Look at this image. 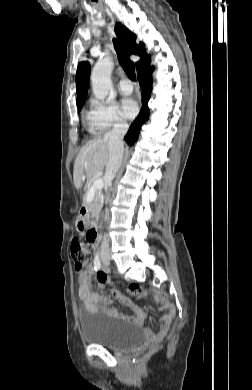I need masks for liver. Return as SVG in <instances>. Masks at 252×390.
Wrapping results in <instances>:
<instances>
[{
  "instance_id": "liver-1",
  "label": "liver",
  "mask_w": 252,
  "mask_h": 390,
  "mask_svg": "<svg viewBox=\"0 0 252 390\" xmlns=\"http://www.w3.org/2000/svg\"><path fill=\"white\" fill-rule=\"evenodd\" d=\"M109 160V147L106 137H97L87 142L78 153L73 170L76 189H80L85 179L90 180L101 172Z\"/></svg>"
}]
</instances>
